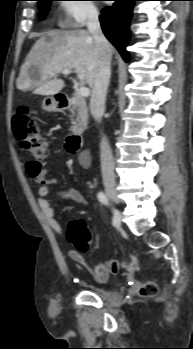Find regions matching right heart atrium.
I'll use <instances>...</instances> for the list:
<instances>
[{
	"label": "right heart atrium",
	"instance_id": "obj_1",
	"mask_svg": "<svg viewBox=\"0 0 193 349\" xmlns=\"http://www.w3.org/2000/svg\"><path fill=\"white\" fill-rule=\"evenodd\" d=\"M61 11L63 23L74 28L98 17V9L91 0H64Z\"/></svg>",
	"mask_w": 193,
	"mask_h": 349
}]
</instances>
